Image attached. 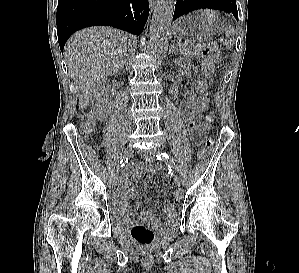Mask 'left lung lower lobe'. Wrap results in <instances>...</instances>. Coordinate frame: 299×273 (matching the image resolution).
I'll return each mask as SVG.
<instances>
[{"label":"left lung lower lobe","mask_w":299,"mask_h":273,"mask_svg":"<svg viewBox=\"0 0 299 273\" xmlns=\"http://www.w3.org/2000/svg\"><path fill=\"white\" fill-rule=\"evenodd\" d=\"M207 8L231 12L238 20L236 0H178L175 5L173 20L191 11Z\"/></svg>","instance_id":"obj_1"}]
</instances>
